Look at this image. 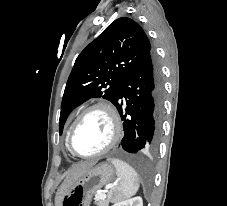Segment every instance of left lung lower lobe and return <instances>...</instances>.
<instances>
[{
  "instance_id": "0a47b994",
  "label": "left lung lower lobe",
  "mask_w": 227,
  "mask_h": 206,
  "mask_svg": "<svg viewBox=\"0 0 227 206\" xmlns=\"http://www.w3.org/2000/svg\"><path fill=\"white\" fill-rule=\"evenodd\" d=\"M163 81L153 52L123 81L115 103L123 121L120 148L129 153H148L156 149L161 130ZM125 98V102L121 101ZM126 108L123 109V104Z\"/></svg>"
}]
</instances>
